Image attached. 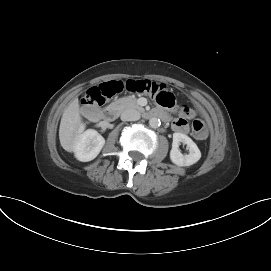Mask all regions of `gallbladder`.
<instances>
[{"label": "gallbladder", "instance_id": "1", "mask_svg": "<svg viewBox=\"0 0 271 271\" xmlns=\"http://www.w3.org/2000/svg\"><path fill=\"white\" fill-rule=\"evenodd\" d=\"M90 117H92V118H93V117H94V115H90Z\"/></svg>", "mask_w": 271, "mask_h": 271}]
</instances>
